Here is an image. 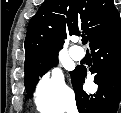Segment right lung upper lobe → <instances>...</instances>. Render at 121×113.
Listing matches in <instances>:
<instances>
[{
  "mask_svg": "<svg viewBox=\"0 0 121 113\" xmlns=\"http://www.w3.org/2000/svg\"><path fill=\"white\" fill-rule=\"evenodd\" d=\"M119 25L113 0H45L28 25L25 69L58 55L68 35L84 33L91 45Z\"/></svg>",
  "mask_w": 121,
  "mask_h": 113,
  "instance_id": "cb5924a9",
  "label": "right lung upper lobe"
}]
</instances>
